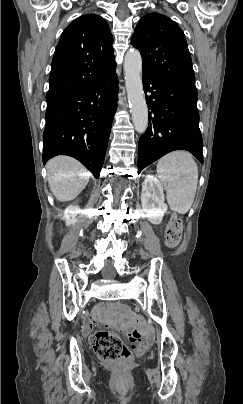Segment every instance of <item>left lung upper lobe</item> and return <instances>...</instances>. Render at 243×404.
<instances>
[{"mask_svg": "<svg viewBox=\"0 0 243 404\" xmlns=\"http://www.w3.org/2000/svg\"><path fill=\"white\" fill-rule=\"evenodd\" d=\"M131 44L141 53L142 74L195 85L185 35L170 18L146 14L137 24Z\"/></svg>", "mask_w": 243, "mask_h": 404, "instance_id": "5c2ea615", "label": "left lung upper lobe"}]
</instances>
